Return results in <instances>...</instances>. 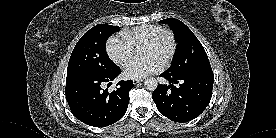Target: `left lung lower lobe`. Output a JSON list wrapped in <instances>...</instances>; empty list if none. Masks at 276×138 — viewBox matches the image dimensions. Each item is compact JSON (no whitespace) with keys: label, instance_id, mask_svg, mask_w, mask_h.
<instances>
[{"label":"left lung lower lobe","instance_id":"0a47b994","mask_svg":"<svg viewBox=\"0 0 276 138\" xmlns=\"http://www.w3.org/2000/svg\"><path fill=\"white\" fill-rule=\"evenodd\" d=\"M169 85H158L152 94L158 111L175 122H187L198 117L212 97L213 73L175 76L165 71L161 75Z\"/></svg>","mask_w":276,"mask_h":138}]
</instances>
